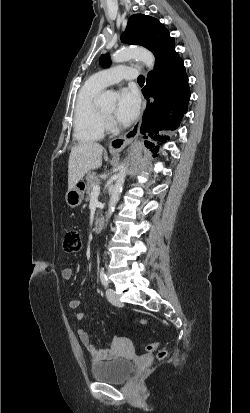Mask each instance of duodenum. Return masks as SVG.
Here are the masks:
<instances>
[{
    "label": "duodenum",
    "instance_id": "410a0bca",
    "mask_svg": "<svg viewBox=\"0 0 250 413\" xmlns=\"http://www.w3.org/2000/svg\"><path fill=\"white\" fill-rule=\"evenodd\" d=\"M103 225H104V218L103 217L96 218L93 224V231L95 233H99L102 230Z\"/></svg>",
    "mask_w": 250,
    "mask_h": 413
}]
</instances>
